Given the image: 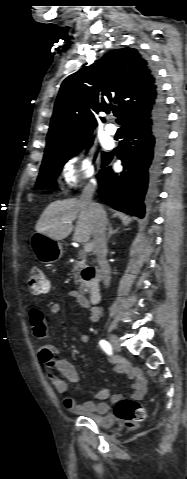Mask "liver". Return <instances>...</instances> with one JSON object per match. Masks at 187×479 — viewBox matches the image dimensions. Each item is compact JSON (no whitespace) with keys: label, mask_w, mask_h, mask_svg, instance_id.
Instances as JSON below:
<instances>
[{"label":"liver","mask_w":187,"mask_h":479,"mask_svg":"<svg viewBox=\"0 0 187 479\" xmlns=\"http://www.w3.org/2000/svg\"><path fill=\"white\" fill-rule=\"evenodd\" d=\"M76 219L73 240L86 243L92 235V223L89 213L80 199L71 198L50 203L40 216L35 229L37 232L59 241L71 234L72 222Z\"/></svg>","instance_id":"obj_1"}]
</instances>
